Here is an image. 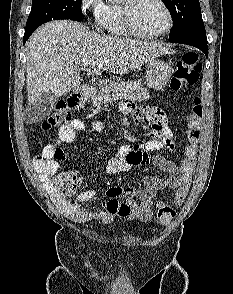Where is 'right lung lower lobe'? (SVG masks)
I'll list each match as a JSON object with an SVG mask.
<instances>
[{
    "label": "right lung lower lobe",
    "mask_w": 233,
    "mask_h": 294,
    "mask_svg": "<svg viewBox=\"0 0 233 294\" xmlns=\"http://www.w3.org/2000/svg\"><path fill=\"white\" fill-rule=\"evenodd\" d=\"M32 34V32H27L25 31V34H24V38H23V43H25L28 39V37Z\"/></svg>",
    "instance_id": "obj_1"
}]
</instances>
